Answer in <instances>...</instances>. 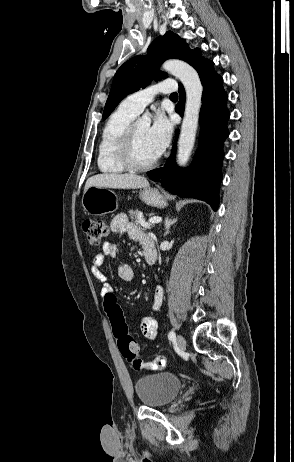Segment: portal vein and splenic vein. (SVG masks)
Wrapping results in <instances>:
<instances>
[{"instance_id":"portal-vein-and-splenic-vein-1","label":"portal vein and splenic vein","mask_w":294,"mask_h":462,"mask_svg":"<svg viewBox=\"0 0 294 462\" xmlns=\"http://www.w3.org/2000/svg\"><path fill=\"white\" fill-rule=\"evenodd\" d=\"M161 221L162 219L160 217H153L149 219L147 225L157 224V223H160Z\"/></svg>"}]
</instances>
